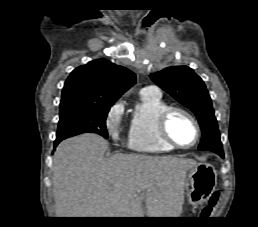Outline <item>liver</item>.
<instances>
[{
  "label": "liver",
  "mask_w": 258,
  "mask_h": 227,
  "mask_svg": "<svg viewBox=\"0 0 258 227\" xmlns=\"http://www.w3.org/2000/svg\"><path fill=\"white\" fill-rule=\"evenodd\" d=\"M83 134L59 144L53 161L57 217H179L187 172L195 160L115 154Z\"/></svg>",
  "instance_id": "obj_1"
}]
</instances>
